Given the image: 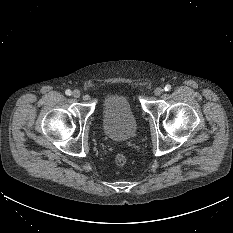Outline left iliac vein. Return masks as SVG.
Listing matches in <instances>:
<instances>
[{"instance_id": "left-iliac-vein-1", "label": "left iliac vein", "mask_w": 233, "mask_h": 233, "mask_svg": "<svg viewBox=\"0 0 233 233\" xmlns=\"http://www.w3.org/2000/svg\"><path fill=\"white\" fill-rule=\"evenodd\" d=\"M163 91H164L163 88L157 87L155 89L154 93H155L156 96H160L163 93Z\"/></svg>"}]
</instances>
